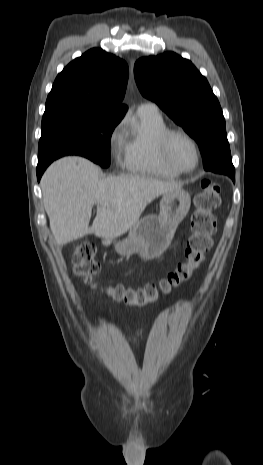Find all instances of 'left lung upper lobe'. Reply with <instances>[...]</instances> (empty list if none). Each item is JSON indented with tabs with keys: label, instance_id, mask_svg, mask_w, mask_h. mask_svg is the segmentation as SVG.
Segmentation results:
<instances>
[{
	"label": "left lung upper lobe",
	"instance_id": "5c2ea615",
	"mask_svg": "<svg viewBox=\"0 0 263 465\" xmlns=\"http://www.w3.org/2000/svg\"><path fill=\"white\" fill-rule=\"evenodd\" d=\"M141 94L157 105L195 139L211 170L235 179L225 119L207 79L187 59L166 52L143 57L134 66Z\"/></svg>",
	"mask_w": 263,
	"mask_h": 465
}]
</instances>
